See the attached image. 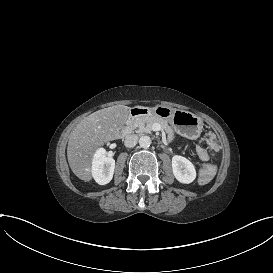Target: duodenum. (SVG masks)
<instances>
[{"label":"duodenum","mask_w":273,"mask_h":273,"mask_svg":"<svg viewBox=\"0 0 273 273\" xmlns=\"http://www.w3.org/2000/svg\"><path fill=\"white\" fill-rule=\"evenodd\" d=\"M148 112L146 109L143 108H133L130 111L128 120H127V124L125 125V127L122 129L121 131V136L125 137L127 135H129L132 131V127H133V122L136 118L146 115Z\"/></svg>","instance_id":"1"}]
</instances>
